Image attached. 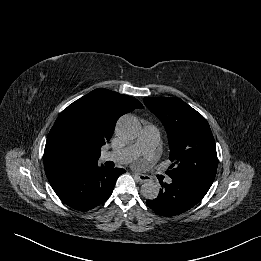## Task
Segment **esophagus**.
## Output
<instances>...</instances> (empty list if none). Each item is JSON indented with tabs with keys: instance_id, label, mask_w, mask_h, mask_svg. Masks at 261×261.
<instances>
[{
	"instance_id": "esophagus-1",
	"label": "esophagus",
	"mask_w": 261,
	"mask_h": 261,
	"mask_svg": "<svg viewBox=\"0 0 261 261\" xmlns=\"http://www.w3.org/2000/svg\"><path fill=\"white\" fill-rule=\"evenodd\" d=\"M135 177L142 183L150 180L149 176L141 173H135Z\"/></svg>"
}]
</instances>
